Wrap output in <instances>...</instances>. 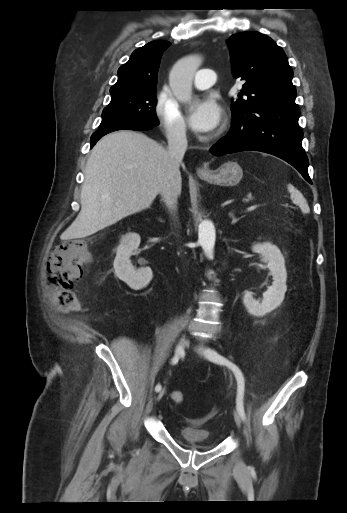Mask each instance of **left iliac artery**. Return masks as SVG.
Instances as JSON below:
<instances>
[{
    "instance_id": "44dca946",
    "label": "left iliac artery",
    "mask_w": 347,
    "mask_h": 513,
    "mask_svg": "<svg viewBox=\"0 0 347 513\" xmlns=\"http://www.w3.org/2000/svg\"><path fill=\"white\" fill-rule=\"evenodd\" d=\"M205 355L208 358V360L217 363L226 365L229 369H231L236 377L237 380V396H236V408L238 413L240 414L242 420L246 419L245 411H244V405H243V397H244V387H245V380L244 376L239 369L238 366L221 356L217 351L213 349H207L205 350Z\"/></svg>"
}]
</instances>
